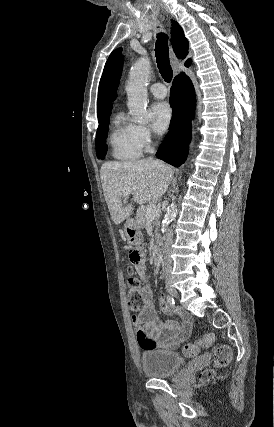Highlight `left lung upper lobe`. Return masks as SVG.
Masks as SVG:
<instances>
[{
    "mask_svg": "<svg viewBox=\"0 0 274 427\" xmlns=\"http://www.w3.org/2000/svg\"><path fill=\"white\" fill-rule=\"evenodd\" d=\"M123 59L119 60L115 65L111 76L108 81V98L114 100L116 97V91L119 84V80L122 72Z\"/></svg>",
    "mask_w": 274,
    "mask_h": 427,
    "instance_id": "obj_1",
    "label": "left lung upper lobe"
}]
</instances>
